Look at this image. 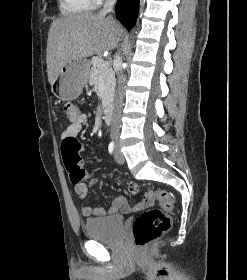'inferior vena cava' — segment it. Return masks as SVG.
Wrapping results in <instances>:
<instances>
[{"label": "inferior vena cava", "mask_w": 247, "mask_h": 280, "mask_svg": "<svg viewBox=\"0 0 247 280\" xmlns=\"http://www.w3.org/2000/svg\"><path fill=\"white\" fill-rule=\"evenodd\" d=\"M116 0H105L103 9L100 11V15H105L113 11L114 4ZM115 61L120 63V57L118 55L115 56ZM117 76H118V87L116 92V99H115V110L112 120L111 126V139L117 140L119 135V128H120V114L123 104V97H124V77L122 73V69L119 66L117 69Z\"/></svg>", "instance_id": "1"}]
</instances>
